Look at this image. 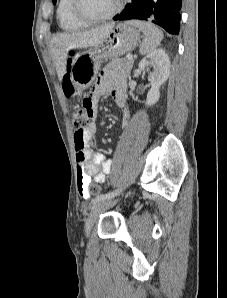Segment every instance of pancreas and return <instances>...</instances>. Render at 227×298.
<instances>
[{"label": "pancreas", "instance_id": "cf45deb5", "mask_svg": "<svg viewBox=\"0 0 227 298\" xmlns=\"http://www.w3.org/2000/svg\"><path fill=\"white\" fill-rule=\"evenodd\" d=\"M133 66V59L126 58L115 59L112 58L107 67L120 71L124 75H129Z\"/></svg>", "mask_w": 227, "mask_h": 298}]
</instances>
